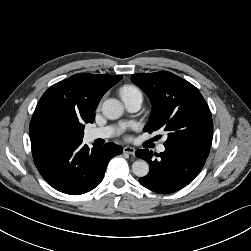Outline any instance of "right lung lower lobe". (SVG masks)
<instances>
[{"instance_id":"1","label":"right lung lower lobe","mask_w":251,"mask_h":251,"mask_svg":"<svg viewBox=\"0 0 251 251\" xmlns=\"http://www.w3.org/2000/svg\"><path fill=\"white\" fill-rule=\"evenodd\" d=\"M122 151L114 143L90 149L82 141L32 147L35 165L46 182L71 195L84 194L99 185L108 162Z\"/></svg>"}]
</instances>
